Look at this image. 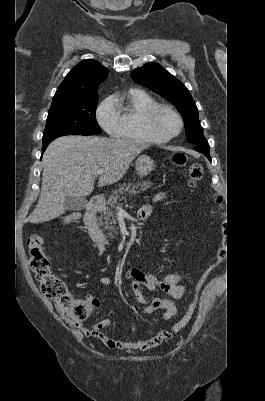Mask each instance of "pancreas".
<instances>
[{"label": "pancreas", "instance_id": "obj_1", "mask_svg": "<svg viewBox=\"0 0 265 401\" xmlns=\"http://www.w3.org/2000/svg\"><path fill=\"white\" fill-rule=\"evenodd\" d=\"M148 186H151L150 180H142V182H128V184H119V188L117 190H113V194H110L108 201H106L105 207L102 209V215H100V221H104L103 225H105V229H108L110 233H108V237L111 239H116L115 235H118V227L116 225V215L118 211V207H120L121 203L118 201H124V192H131V194H137L139 190H146Z\"/></svg>", "mask_w": 265, "mask_h": 401}]
</instances>
